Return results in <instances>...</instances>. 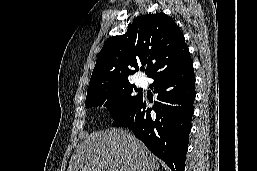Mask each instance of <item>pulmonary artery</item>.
<instances>
[{
    "instance_id": "e3ab8cb5",
    "label": "pulmonary artery",
    "mask_w": 257,
    "mask_h": 171,
    "mask_svg": "<svg viewBox=\"0 0 257 171\" xmlns=\"http://www.w3.org/2000/svg\"><path fill=\"white\" fill-rule=\"evenodd\" d=\"M137 83L138 85L143 86L145 84V81L142 78H139Z\"/></svg>"
}]
</instances>
